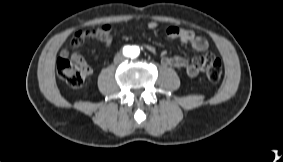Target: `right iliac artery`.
<instances>
[{
	"label": "right iliac artery",
	"mask_w": 283,
	"mask_h": 162,
	"mask_svg": "<svg viewBox=\"0 0 283 162\" xmlns=\"http://www.w3.org/2000/svg\"><path fill=\"white\" fill-rule=\"evenodd\" d=\"M129 52H130V47L125 46L124 49H123V53L124 54H129Z\"/></svg>",
	"instance_id": "right-iliac-artery-1"
}]
</instances>
